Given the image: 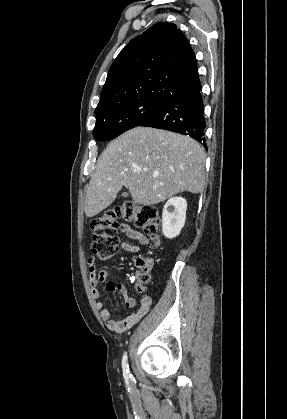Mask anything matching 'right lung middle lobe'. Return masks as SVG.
Instances as JSON below:
<instances>
[{
  "instance_id": "right-lung-middle-lobe-1",
  "label": "right lung middle lobe",
  "mask_w": 287,
  "mask_h": 419,
  "mask_svg": "<svg viewBox=\"0 0 287 419\" xmlns=\"http://www.w3.org/2000/svg\"><path fill=\"white\" fill-rule=\"evenodd\" d=\"M161 100H138L96 115L93 136L99 141L116 138L125 131L139 126L162 107Z\"/></svg>"
}]
</instances>
